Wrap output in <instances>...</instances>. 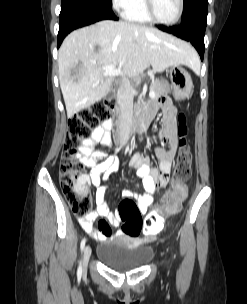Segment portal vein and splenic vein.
Masks as SVG:
<instances>
[{
	"mask_svg": "<svg viewBox=\"0 0 247 304\" xmlns=\"http://www.w3.org/2000/svg\"><path fill=\"white\" fill-rule=\"evenodd\" d=\"M104 76H116V75H123V72L120 69H117L114 65H108L103 67ZM149 96L151 98L155 97V93L153 90H150Z\"/></svg>",
	"mask_w": 247,
	"mask_h": 304,
	"instance_id": "1",
	"label": "portal vein and splenic vein"
}]
</instances>
